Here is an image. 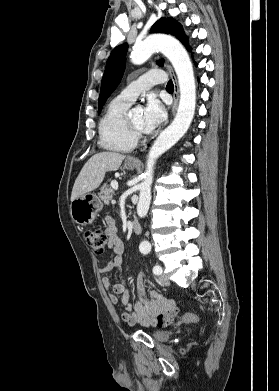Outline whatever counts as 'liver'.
<instances>
[{
    "label": "liver",
    "instance_id": "6515ba94",
    "mask_svg": "<svg viewBox=\"0 0 279 391\" xmlns=\"http://www.w3.org/2000/svg\"><path fill=\"white\" fill-rule=\"evenodd\" d=\"M125 158V155L115 152H100L93 155L85 163L75 180L71 202L97 189L103 182L106 172L117 171Z\"/></svg>",
    "mask_w": 279,
    "mask_h": 391
}]
</instances>
